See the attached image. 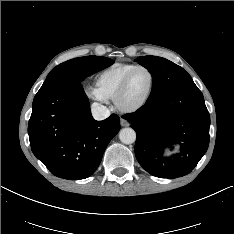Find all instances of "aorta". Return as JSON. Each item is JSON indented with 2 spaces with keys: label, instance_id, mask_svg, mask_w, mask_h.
Wrapping results in <instances>:
<instances>
[{
  "label": "aorta",
  "instance_id": "obj_1",
  "mask_svg": "<svg viewBox=\"0 0 234 234\" xmlns=\"http://www.w3.org/2000/svg\"><path fill=\"white\" fill-rule=\"evenodd\" d=\"M119 139L124 144H132L136 140V132L132 128H123L119 133Z\"/></svg>",
  "mask_w": 234,
  "mask_h": 234
}]
</instances>
